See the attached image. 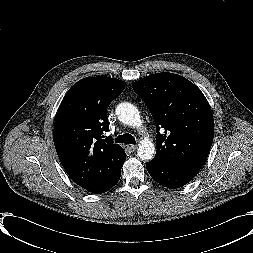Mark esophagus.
<instances>
[{
  "instance_id": "34e87169",
  "label": "esophagus",
  "mask_w": 253,
  "mask_h": 253,
  "mask_svg": "<svg viewBox=\"0 0 253 253\" xmlns=\"http://www.w3.org/2000/svg\"><path fill=\"white\" fill-rule=\"evenodd\" d=\"M128 149L130 150V152H134L137 149L136 145H128Z\"/></svg>"
}]
</instances>
